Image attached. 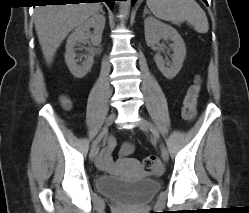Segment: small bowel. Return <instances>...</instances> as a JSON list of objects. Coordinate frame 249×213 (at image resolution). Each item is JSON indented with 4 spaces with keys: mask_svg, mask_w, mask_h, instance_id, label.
I'll return each instance as SVG.
<instances>
[{
    "mask_svg": "<svg viewBox=\"0 0 249 213\" xmlns=\"http://www.w3.org/2000/svg\"><path fill=\"white\" fill-rule=\"evenodd\" d=\"M116 145V141L113 138H110L108 140V147L104 150H102L97 158L96 166L101 169L108 172H112L116 168V164L112 157V151ZM133 151V145L129 142H126L123 144L121 149V157L126 158L128 155H130Z\"/></svg>",
    "mask_w": 249,
    "mask_h": 213,
    "instance_id": "small-bowel-1",
    "label": "small bowel"
}]
</instances>
